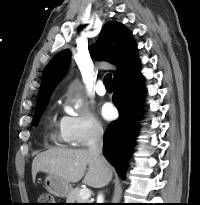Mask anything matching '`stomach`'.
Returning a JSON list of instances; mask_svg holds the SVG:
<instances>
[{
    "label": "stomach",
    "mask_w": 200,
    "mask_h": 205,
    "mask_svg": "<svg viewBox=\"0 0 200 205\" xmlns=\"http://www.w3.org/2000/svg\"><path fill=\"white\" fill-rule=\"evenodd\" d=\"M45 188L54 196L63 198L67 197L72 190L70 183L61 177L48 174L44 180Z\"/></svg>",
    "instance_id": "stomach-1"
}]
</instances>
